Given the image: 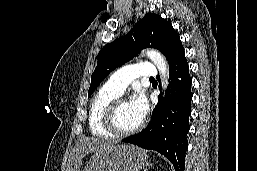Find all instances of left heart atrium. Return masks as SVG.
<instances>
[{"label": "left heart atrium", "instance_id": "1", "mask_svg": "<svg viewBox=\"0 0 257 171\" xmlns=\"http://www.w3.org/2000/svg\"><path fill=\"white\" fill-rule=\"evenodd\" d=\"M129 103L139 118L144 119L148 111V103L144 93L140 90H137L133 94Z\"/></svg>", "mask_w": 257, "mask_h": 171}]
</instances>
